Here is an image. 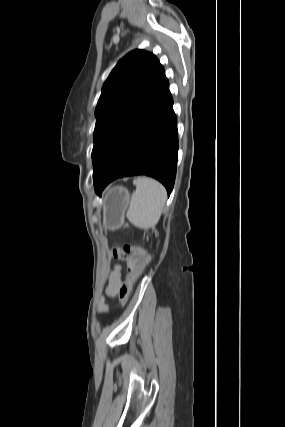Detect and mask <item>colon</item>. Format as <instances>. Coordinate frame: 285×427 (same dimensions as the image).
<instances>
[{"label":"colon","instance_id":"colon-1","mask_svg":"<svg viewBox=\"0 0 285 427\" xmlns=\"http://www.w3.org/2000/svg\"><path fill=\"white\" fill-rule=\"evenodd\" d=\"M111 255L114 259L127 262L126 279L120 285L117 293L120 305L124 306L128 301L134 282L149 263L150 257L144 248L132 245L114 246L111 249Z\"/></svg>","mask_w":285,"mask_h":427}]
</instances>
